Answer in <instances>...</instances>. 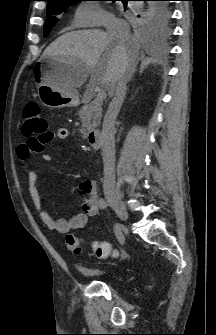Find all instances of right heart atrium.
Returning a JSON list of instances; mask_svg holds the SVG:
<instances>
[{
    "mask_svg": "<svg viewBox=\"0 0 216 335\" xmlns=\"http://www.w3.org/2000/svg\"><path fill=\"white\" fill-rule=\"evenodd\" d=\"M75 20L81 27H100L115 20L102 6L93 1H84L75 10Z\"/></svg>",
    "mask_w": 216,
    "mask_h": 335,
    "instance_id": "d8ad5b80",
    "label": "right heart atrium"
}]
</instances>
